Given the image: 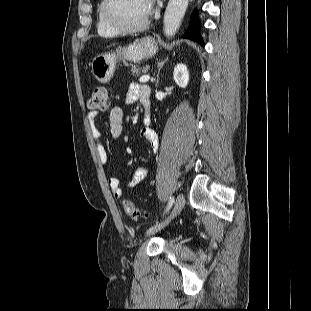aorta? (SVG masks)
<instances>
[{"label":"aorta","instance_id":"1","mask_svg":"<svg viewBox=\"0 0 311 311\" xmlns=\"http://www.w3.org/2000/svg\"><path fill=\"white\" fill-rule=\"evenodd\" d=\"M189 0H169L163 20V31L167 37L175 35L180 27Z\"/></svg>","mask_w":311,"mask_h":311}]
</instances>
